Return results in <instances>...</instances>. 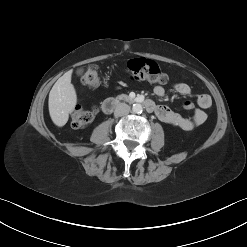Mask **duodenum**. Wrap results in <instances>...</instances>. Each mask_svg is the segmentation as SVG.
Instances as JSON below:
<instances>
[{
    "instance_id": "obj_1",
    "label": "duodenum",
    "mask_w": 247,
    "mask_h": 247,
    "mask_svg": "<svg viewBox=\"0 0 247 247\" xmlns=\"http://www.w3.org/2000/svg\"><path fill=\"white\" fill-rule=\"evenodd\" d=\"M120 100L117 98H109L102 104V110L104 113H111L119 104ZM132 102L142 104L145 109L149 112H154L156 104L151 99H134Z\"/></svg>"
}]
</instances>
